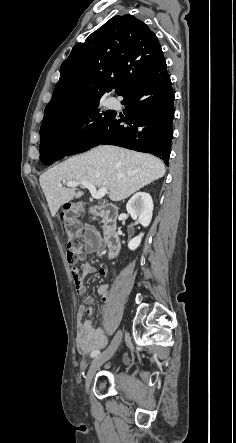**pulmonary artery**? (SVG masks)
<instances>
[{
	"label": "pulmonary artery",
	"instance_id": "e3ab8cb5",
	"mask_svg": "<svg viewBox=\"0 0 236 443\" xmlns=\"http://www.w3.org/2000/svg\"><path fill=\"white\" fill-rule=\"evenodd\" d=\"M108 105H111V101H108Z\"/></svg>",
	"mask_w": 236,
	"mask_h": 443
}]
</instances>
